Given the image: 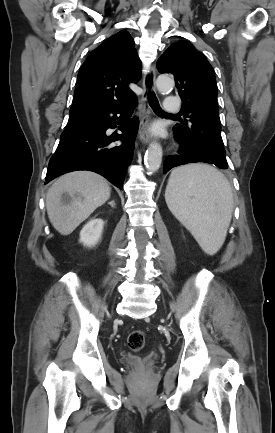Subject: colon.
Returning <instances> with one entry per match:
<instances>
[{
    "label": "colon",
    "mask_w": 275,
    "mask_h": 433,
    "mask_svg": "<svg viewBox=\"0 0 275 433\" xmlns=\"http://www.w3.org/2000/svg\"><path fill=\"white\" fill-rule=\"evenodd\" d=\"M145 333L142 330L132 331L127 339V344L130 350L133 352H138L142 350L145 344Z\"/></svg>",
    "instance_id": "obj_1"
}]
</instances>
